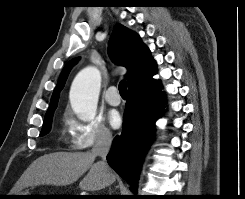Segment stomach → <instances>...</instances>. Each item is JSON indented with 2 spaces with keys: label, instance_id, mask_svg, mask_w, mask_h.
<instances>
[{
  "label": "stomach",
  "instance_id": "obj_1",
  "mask_svg": "<svg viewBox=\"0 0 245 199\" xmlns=\"http://www.w3.org/2000/svg\"><path fill=\"white\" fill-rule=\"evenodd\" d=\"M11 195H32L30 194L28 191H18L14 194H11ZM13 199H29L31 197L29 196H12Z\"/></svg>",
  "mask_w": 245,
  "mask_h": 199
}]
</instances>
